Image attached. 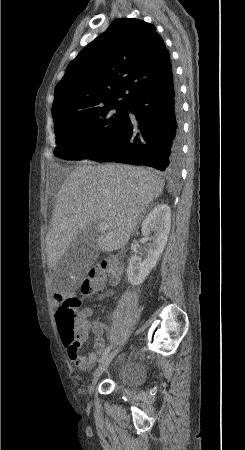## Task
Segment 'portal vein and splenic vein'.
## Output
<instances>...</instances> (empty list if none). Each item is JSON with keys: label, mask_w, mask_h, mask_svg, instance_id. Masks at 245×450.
Listing matches in <instances>:
<instances>
[{"label": "portal vein and splenic vein", "mask_w": 245, "mask_h": 450, "mask_svg": "<svg viewBox=\"0 0 245 450\" xmlns=\"http://www.w3.org/2000/svg\"><path fill=\"white\" fill-rule=\"evenodd\" d=\"M109 229V225L106 222H100L98 224V230L101 232H106Z\"/></svg>", "instance_id": "obj_1"}]
</instances>
